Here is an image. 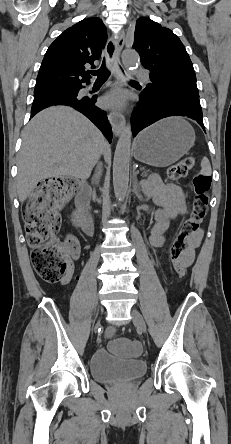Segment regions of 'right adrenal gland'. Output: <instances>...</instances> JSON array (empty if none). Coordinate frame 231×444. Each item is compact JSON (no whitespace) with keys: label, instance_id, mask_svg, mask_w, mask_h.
Instances as JSON below:
<instances>
[{"label":"right adrenal gland","instance_id":"2a0ac1e0","mask_svg":"<svg viewBox=\"0 0 231 444\" xmlns=\"http://www.w3.org/2000/svg\"><path fill=\"white\" fill-rule=\"evenodd\" d=\"M101 175H102V165H101V163H99L97 166V172L94 175V177L92 178V184L98 183L101 178Z\"/></svg>","mask_w":231,"mask_h":444}]
</instances>
